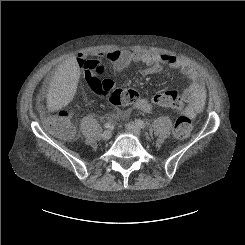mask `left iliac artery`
<instances>
[{"instance_id": "44dca946", "label": "left iliac artery", "mask_w": 245, "mask_h": 245, "mask_svg": "<svg viewBox=\"0 0 245 245\" xmlns=\"http://www.w3.org/2000/svg\"><path fill=\"white\" fill-rule=\"evenodd\" d=\"M135 123H136V125H138L140 128H145V127H146V124H145L142 120H140V119L135 120Z\"/></svg>"}]
</instances>
